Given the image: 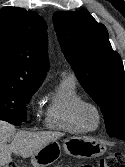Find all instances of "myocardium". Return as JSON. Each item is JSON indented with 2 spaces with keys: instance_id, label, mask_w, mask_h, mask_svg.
<instances>
[{
  "instance_id": "f54148a6",
  "label": "myocardium",
  "mask_w": 125,
  "mask_h": 167,
  "mask_svg": "<svg viewBox=\"0 0 125 167\" xmlns=\"http://www.w3.org/2000/svg\"><path fill=\"white\" fill-rule=\"evenodd\" d=\"M87 110H92L96 115V125L91 127L88 126L85 122V113ZM75 116L77 121L80 123V125L83 127L86 131H95L97 130L101 125V113L99 108L96 104L90 102V101H82L75 109Z\"/></svg>"
}]
</instances>
